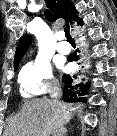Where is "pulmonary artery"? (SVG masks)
Wrapping results in <instances>:
<instances>
[{"mask_svg": "<svg viewBox=\"0 0 117 136\" xmlns=\"http://www.w3.org/2000/svg\"><path fill=\"white\" fill-rule=\"evenodd\" d=\"M56 50L61 54H68L70 52V46L68 43L61 41L57 43Z\"/></svg>", "mask_w": 117, "mask_h": 136, "instance_id": "1", "label": "pulmonary artery"}]
</instances>
